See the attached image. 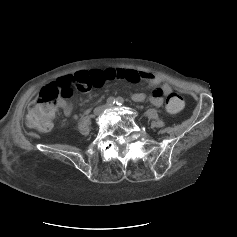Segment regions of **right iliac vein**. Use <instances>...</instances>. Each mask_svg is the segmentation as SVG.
<instances>
[{"label": "right iliac vein", "mask_w": 237, "mask_h": 237, "mask_svg": "<svg viewBox=\"0 0 237 237\" xmlns=\"http://www.w3.org/2000/svg\"><path fill=\"white\" fill-rule=\"evenodd\" d=\"M105 110V106H100L95 110L96 115H101Z\"/></svg>", "instance_id": "1"}]
</instances>
